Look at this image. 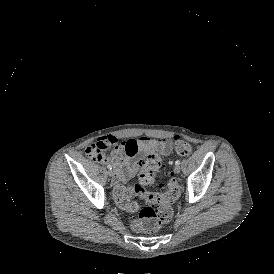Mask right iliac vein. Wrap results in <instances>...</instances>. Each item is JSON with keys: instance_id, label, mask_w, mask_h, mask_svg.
<instances>
[{"instance_id": "right-iliac-vein-1", "label": "right iliac vein", "mask_w": 274, "mask_h": 274, "mask_svg": "<svg viewBox=\"0 0 274 274\" xmlns=\"http://www.w3.org/2000/svg\"><path fill=\"white\" fill-rule=\"evenodd\" d=\"M108 175L112 178V181H113V182L116 181L115 176H114V175H115V174H114V171L109 170Z\"/></svg>"}]
</instances>
